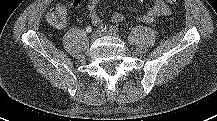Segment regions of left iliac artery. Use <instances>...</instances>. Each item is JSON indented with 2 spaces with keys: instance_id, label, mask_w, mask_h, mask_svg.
<instances>
[{
  "instance_id": "44dca946",
  "label": "left iliac artery",
  "mask_w": 217,
  "mask_h": 121,
  "mask_svg": "<svg viewBox=\"0 0 217 121\" xmlns=\"http://www.w3.org/2000/svg\"><path fill=\"white\" fill-rule=\"evenodd\" d=\"M109 31L112 32L113 34H116V33H118L119 30H118L117 26L112 25L109 27Z\"/></svg>"
}]
</instances>
